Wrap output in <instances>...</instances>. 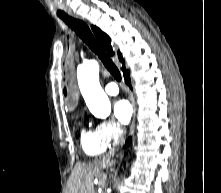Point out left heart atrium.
Wrapping results in <instances>:
<instances>
[{"label": "left heart atrium", "instance_id": "obj_1", "mask_svg": "<svg viewBox=\"0 0 221 193\" xmlns=\"http://www.w3.org/2000/svg\"><path fill=\"white\" fill-rule=\"evenodd\" d=\"M132 106L126 99H119L114 105V114L116 118L123 124L130 121L132 116Z\"/></svg>", "mask_w": 221, "mask_h": 193}]
</instances>
